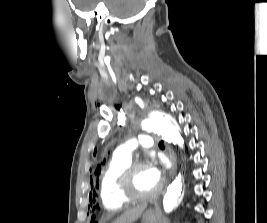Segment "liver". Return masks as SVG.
I'll use <instances>...</instances> for the list:
<instances>
[{"label":"liver","mask_w":267,"mask_h":223,"mask_svg":"<svg viewBox=\"0 0 267 223\" xmlns=\"http://www.w3.org/2000/svg\"><path fill=\"white\" fill-rule=\"evenodd\" d=\"M146 207H147V204H144V205L129 209L125 211L114 223H132L141 216V214L143 213Z\"/></svg>","instance_id":"1"}]
</instances>
